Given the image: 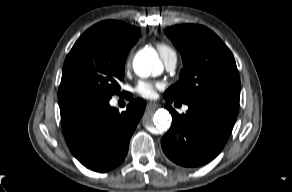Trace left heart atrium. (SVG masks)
<instances>
[{
    "label": "left heart atrium",
    "instance_id": "1",
    "mask_svg": "<svg viewBox=\"0 0 292 192\" xmlns=\"http://www.w3.org/2000/svg\"><path fill=\"white\" fill-rule=\"evenodd\" d=\"M160 86L161 85L157 82L141 80L136 84L134 90L141 97L153 98L156 95V90L160 88Z\"/></svg>",
    "mask_w": 292,
    "mask_h": 192
}]
</instances>
